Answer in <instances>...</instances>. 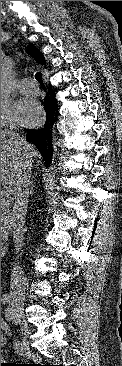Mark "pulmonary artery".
I'll return each instance as SVG.
<instances>
[{"label":"pulmonary artery","mask_w":122,"mask_h":366,"mask_svg":"<svg viewBox=\"0 0 122 366\" xmlns=\"http://www.w3.org/2000/svg\"><path fill=\"white\" fill-rule=\"evenodd\" d=\"M18 89L23 94L36 95L39 92V88L36 83L30 79L21 80L18 85Z\"/></svg>","instance_id":"1"}]
</instances>
